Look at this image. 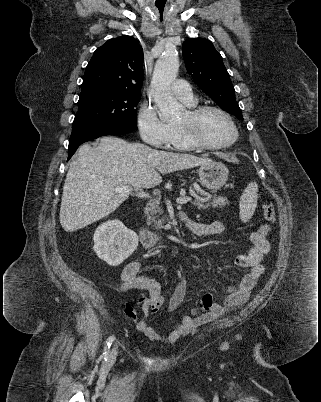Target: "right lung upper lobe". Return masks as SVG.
<instances>
[{
    "instance_id": "1",
    "label": "right lung upper lobe",
    "mask_w": 321,
    "mask_h": 402,
    "mask_svg": "<svg viewBox=\"0 0 321 402\" xmlns=\"http://www.w3.org/2000/svg\"><path fill=\"white\" fill-rule=\"evenodd\" d=\"M143 50L136 39L121 36L97 48L86 67L82 88L140 95Z\"/></svg>"
}]
</instances>
